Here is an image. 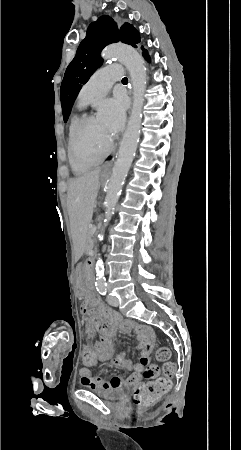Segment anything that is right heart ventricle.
Instances as JSON below:
<instances>
[{"mask_svg":"<svg viewBox=\"0 0 241 450\" xmlns=\"http://www.w3.org/2000/svg\"><path fill=\"white\" fill-rule=\"evenodd\" d=\"M78 118H77V116H74L73 118H72V122H71V126H70V136H72V134H71V130H72V127H73V125H74V123H75V121L77 120ZM108 126H110V124H107ZM69 144H72V143H70V141H69ZM72 152H71V149H69V155H70V159H71V161H72ZM79 160H78V162H72L75 166H78V165H81V157L80 158H78ZM93 160H95V157H93Z\"/></svg>","mask_w":241,"mask_h":450,"instance_id":"right-heart-ventricle-1","label":"right heart ventricle"}]
</instances>
